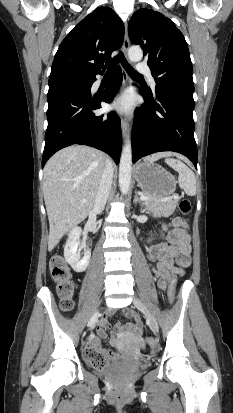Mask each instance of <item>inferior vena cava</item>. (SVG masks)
<instances>
[{
    "label": "inferior vena cava",
    "instance_id": "1",
    "mask_svg": "<svg viewBox=\"0 0 233 413\" xmlns=\"http://www.w3.org/2000/svg\"><path fill=\"white\" fill-rule=\"evenodd\" d=\"M113 180V162L109 157H106L105 165L102 171L101 181L99 189L95 198L94 207L92 212L95 214H101L105 208L107 199L110 194Z\"/></svg>",
    "mask_w": 233,
    "mask_h": 413
}]
</instances>
